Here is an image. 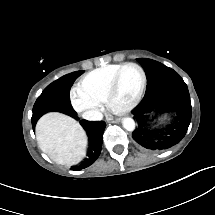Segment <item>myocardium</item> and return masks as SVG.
<instances>
[{
  "label": "myocardium",
  "instance_id": "1",
  "mask_svg": "<svg viewBox=\"0 0 215 215\" xmlns=\"http://www.w3.org/2000/svg\"><path fill=\"white\" fill-rule=\"evenodd\" d=\"M133 68L138 74V83L134 91L133 96L128 93H118L116 87L120 81V77L123 75L122 69ZM146 83V76L143 69L134 62H125L119 64L118 70H115V75H113V81L111 86L107 89L106 95L103 98L102 106L105 109H111L114 114L123 115L132 111L136 104L139 102L143 89Z\"/></svg>",
  "mask_w": 215,
  "mask_h": 215
}]
</instances>
